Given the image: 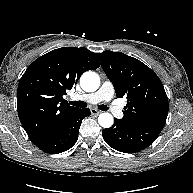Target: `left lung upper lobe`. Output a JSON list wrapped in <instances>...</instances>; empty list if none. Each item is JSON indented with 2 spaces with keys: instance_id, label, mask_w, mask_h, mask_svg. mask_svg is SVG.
<instances>
[{
  "instance_id": "left-lung-upper-lobe-1",
  "label": "left lung upper lobe",
  "mask_w": 193,
  "mask_h": 193,
  "mask_svg": "<svg viewBox=\"0 0 193 193\" xmlns=\"http://www.w3.org/2000/svg\"><path fill=\"white\" fill-rule=\"evenodd\" d=\"M96 55L115 88L116 96L128 99L120 121L128 126L165 125L168 98L155 72L121 52L104 51Z\"/></svg>"
}]
</instances>
